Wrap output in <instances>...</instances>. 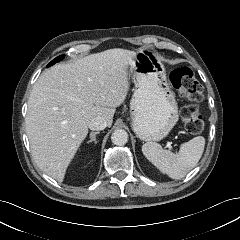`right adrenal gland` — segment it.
<instances>
[{
	"label": "right adrenal gland",
	"instance_id": "2a0ac1e0",
	"mask_svg": "<svg viewBox=\"0 0 240 240\" xmlns=\"http://www.w3.org/2000/svg\"><path fill=\"white\" fill-rule=\"evenodd\" d=\"M99 134V132H91L90 133V140L87 143L94 142L95 144L97 143L96 141V135Z\"/></svg>",
	"mask_w": 240,
	"mask_h": 240
}]
</instances>
